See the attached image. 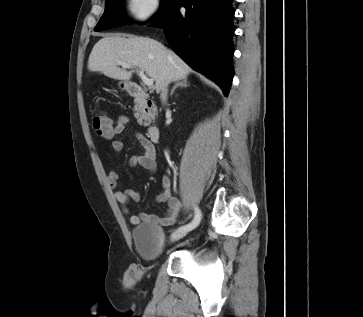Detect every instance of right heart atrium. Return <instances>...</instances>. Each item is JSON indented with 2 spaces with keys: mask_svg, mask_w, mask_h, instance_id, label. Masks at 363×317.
Wrapping results in <instances>:
<instances>
[{
  "mask_svg": "<svg viewBox=\"0 0 363 317\" xmlns=\"http://www.w3.org/2000/svg\"><path fill=\"white\" fill-rule=\"evenodd\" d=\"M128 13L138 21L155 17L160 10V0H126Z\"/></svg>",
  "mask_w": 363,
  "mask_h": 317,
  "instance_id": "obj_1",
  "label": "right heart atrium"
}]
</instances>
